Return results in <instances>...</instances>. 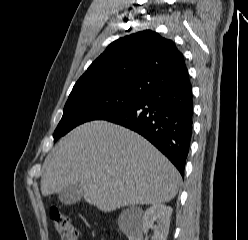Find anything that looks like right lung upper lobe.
I'll return each mask as SVG.
<instances>
[{
	"instance_id": "right-lung-upper-lobe-1",
	"label": "right lung upper lobe",
	"mask_w": 248,
	"mask_h": 240,
	"mask_svg": "<svg viewBox=\"0 0 248 240\" xmlns=\"http://www.w3.org/2000/svg\"><path fill=\"white\" fill-rule=\"evenodd\" d=\"M187 77L184 56L175 43L146 30L112 42L73 90L112 88L143 97Z\"/></svg>"
}]
</instances>
